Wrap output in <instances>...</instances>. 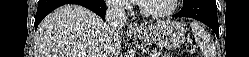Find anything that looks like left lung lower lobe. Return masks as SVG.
Listing matches in <instances>:
<instances>
[{"instance_id":"0a47b994","label":"left lung lower lobe","mask_w":249,"mask_h":57,"mask_svg":"<svg viewBox=\"0 0 249 57\" xmlns=\"http://www.w3.org/2000/svg\"><path fill=\"white\" fill-rule=\"evenodd\" d=\"M174 17H189L199 20L209 26L219 37L215 0H183V8Z\"/></svg>"}]
</instances>
